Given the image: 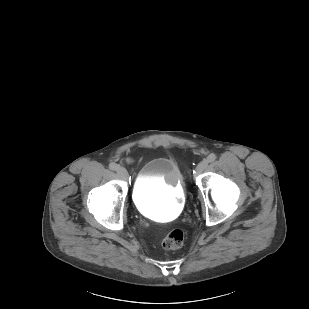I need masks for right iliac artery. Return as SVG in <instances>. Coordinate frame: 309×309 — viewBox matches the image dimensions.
Masks as SVG:
<instances>
[{
	"label": "right iliac artery",
	"mask_w": 309,
	"mask_h": 309,
	"mask_svg": "<svg viewBox=\"0 0 309 309\" xmlns=\"http://www.w3.org/2000/svg\"><path fill=\"white\" fill-rule=\"evenodd\" d=\"M109 168H110L111 170H117L118 165H117L116 163H114V162H111V163L109 164Z\"/></svg>",
	"instance_id": "1"
}]
</instances>
